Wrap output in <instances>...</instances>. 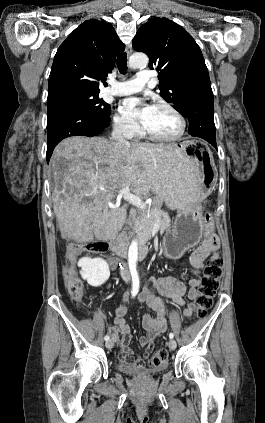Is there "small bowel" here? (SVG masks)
<instances>
[{
	"label": "small bowel",
	"instance_id": "obj_1",
	"mask_svg": "<svg viewBox=\"0 0 265 423\" xmlns=\"http://www.w3.org/2000/svg\"><path fill=\"white\" fill-rule=\"evenodd\" d=\"M219 247V239L215 234L207 235L203 245L199 246L191 255L190 263L192 266L193 278L189 280V289L186 285L171 276L160 277L152 279L150 288L142 291L138 296V301L145 305L146 313L143 315L142 325L145 329V335L140 337V345L144 349V355L150 354L154 347L155 340L159 335L167 330V322L165 315L169 312L168 306L163 301L162 297L172 300L174 303L183 306V318L189 319L192 317L195 304L194 300L198 296L199 286L201 283V270L203 268L204 260L207 257L217 256V249ZM109 264L112 268L118 265V262L110 258ZM187 294L190 302H186L185 295ZM128 294L124 296L123 305L115 310L113 323L115 328L111 329L114 339L118 340L120 347V358L125 364H132L141 366L143 359L131 360L133 351L130 347L132 340L130 326L124 320L126 312V304L128 302ZM151 312L153 314H151Z\"/></svg>",
	"mask_w": 265,
	"mask_h": 423
}]
</instances>
